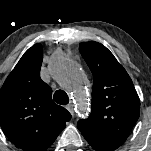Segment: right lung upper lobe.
Segmentation results:
<instances>
[{
  "mask_svg": "<svg viewBox=\"0 0 151 151\" xmlns=\"http://www.w3.org/2000/svg\"><path fill=\"white\" fill-rule=\"evenodd\" d=\"M43 51L35 44L21 57L0 90V125L24 151H45L71 119L52 100V89L40 78Z\"/></svg>",
  "mask_w": 151,
  "mask_h": 151,
  "instance_id": "obj_1",
  "label": "right lung upper lobe"
}]
</instances>
